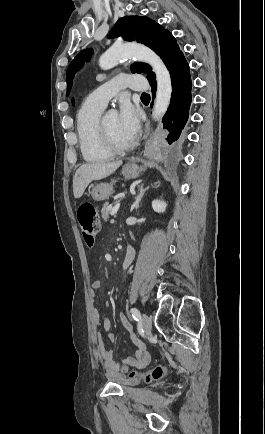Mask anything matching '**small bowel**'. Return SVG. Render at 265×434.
<instances>
[{
  "instance_id": "small-bowel-1",
  "label": "small bowel",
  "mask_w": 265,
  "mask_h": 434,
  "mask_svg": "<svg viewBox=\"0 0 265 434\" xmlns=\"http://www.w3.org/2000/svg\"><path fill=\"white\" fill-rule=\"evenodd\" d=\"M102 284L99 280H95L91 284L90 288V297L92 299L96 296V291L101 289ZM118 315H120L121 321L130 337L131 342L136 346V354L133 358L128 359L127 363L137 365L139 367L145 365L151 359V354L148 351L146 344L140 340L133 331L132 325L126 319V313H123V310H118ZM92 318L94 322L104 329L106 332L107 338L110 341H115L116 336L112 333L110 321L107 318H102L98 309H93ZM96 347L98 356L107 370L106 376L108 377L110 382L119 383L121 380L126 384H135L138 382V379L132 376L125 377L123 376L118 368V365L114 361L115 351L113 349L107 348L104 344L102 332L99 330L97 332L96 338Z\"/></svg>"
}]
</instances>
